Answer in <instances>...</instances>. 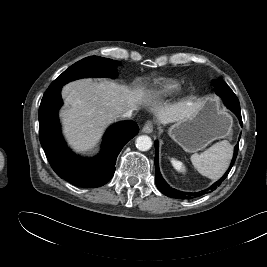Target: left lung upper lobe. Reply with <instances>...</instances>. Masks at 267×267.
Returning a JSON list of instances; mask_svg holds the SVG:
<instances>
[{
  "instance_id": "obj_1",
  "label": "left lung upper lobe",
  "mask_w": 267,
  "mask_h": 267,
  "mask_svg": "<svg viewBox=\"0 0 267 267\" xmlns=\"http://www.w3.org/2000/svg\"><path fill=\"white\" fill-rule=\"evenodd\" d=\"M213 84L218 95H222V93L230 90V87L221 78L219 80H214Z\"/></svg>"
}]
</instances>
